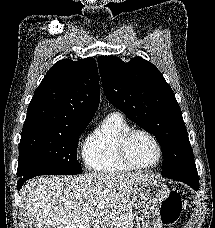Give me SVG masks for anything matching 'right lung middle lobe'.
I'll return each instance as SVG.
<instances>
[{
    "instance_id": "1",
    "label": "right lung middle lobe",
    "mask_w": 215,
    "mask_h": 228,
    "mask_svg": "<svg viewBox=\"0 0 215 228\" xmlns=\"http://www.w3.org/2000/svg\"><path fill=\"white\" fill-rule=\"evenodd\" d=\"M88 124H58L22 131L17 176L32 178L46 174L82 173L77 161V145Z\"/></svg>"
}]
</instances>
